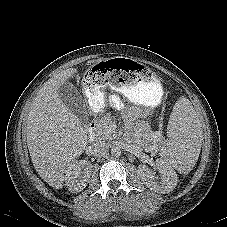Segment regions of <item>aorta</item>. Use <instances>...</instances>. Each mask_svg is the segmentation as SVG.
Masks as SVG:
<instances>
[{"label":"aorta","mask_w":227,"mask_h":227,"mask_svg":"<svg viewBox=\"0 0 227 227\" xmlns=\"http://www.w3.org/2000/svg\"><path fill=\"white\" fill-rule=\"evenodd\" d=\"M111 155L116 158L119 157L121 155V149L118 146L112 147Z\"/></svg>","instance_id":"obj_1"}]
</instances>
